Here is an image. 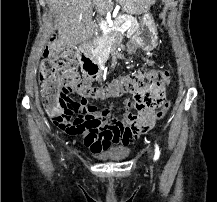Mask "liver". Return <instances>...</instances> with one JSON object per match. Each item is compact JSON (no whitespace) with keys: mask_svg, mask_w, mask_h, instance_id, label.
Wrapping results in <instances>:
<instances>
[{"mask_svg":"<svg viewBox=\"0 0 217 202\" xmlns=\"http://www.w3.org/2000/svg\"><path fill=\"white\" fill-rule=\"evenodd\" d=\"M126 14H145L156 0H116ZM164 2V0H162ZM56 16L58 46H74L86 42L94 34L92 10L104 16L111 10L110 0H46Z\"/></svg>","mask_w":217,"mask_h":202,"instance_id":"liver-1","label":"liver"}]
</instances>
